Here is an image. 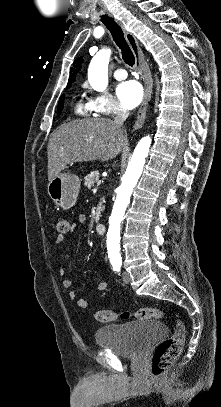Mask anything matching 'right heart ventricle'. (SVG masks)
<instances>
[{"label": "right heart ventricle", "mask_w": 221, "mask_h": 407, "mask_svg": "<svg viewBox=\"0 0 221 407\" xmlns=\"http://www.w3.org/2000/svg\"><path fill=\"white\" fill-rule=\"evenodd\" d=\"M74 113L79 116H89L92 113L90 102H86L82 98H77L73 106Z\"/></svg>", "instance_id": "obj_1"}]
</instances>
